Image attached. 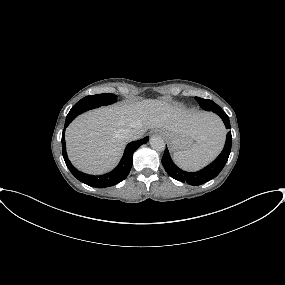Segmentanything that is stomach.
I'll return each mask as SVG.
<instances>
[{
  "label": "stomach",
  "mask_w": 285,
  "mask_h": 285,
  "mask_svg": "<svg viewBox=\"0 0 285 285\" xmlns=\"http://www.w3.org/2000/svg\"><path fill=\"white\" fill-rule=\"evenodd\" d=\"M162 134L168 140L170 148L173 151L187 150L194 143V139L186 134L172 133L170 131H165V130H162Z\"/></svg>",
  "instance_id": "stomach-1"
}]
</instances>
